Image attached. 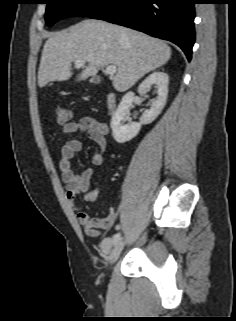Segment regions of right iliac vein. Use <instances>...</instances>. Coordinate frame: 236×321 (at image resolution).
I'll return each mask as SVG.
<instances>
[{"label": "right iliac vein", "mask_w": 236, "mask_h": 321, "mask_svg": "<svg viewBox=\"0 0 236 321\" xmlns=\"http://www.w3.org/2000/svg\"><path fill=\"white\" fill-rule=\"evenodd\" d=\"M123 247H124V242H123V240H120V241L115 245V247L112 249V251H111V253H110V255H109V261H110V263H114V262L118 259L119 255H120V253H121V251H122V249H123Z\"/></svg>", "instance_id": "1"}]
</instances>
